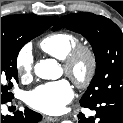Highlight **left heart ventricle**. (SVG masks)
Here are the masks:
<instances>
[{"mask_svg": "<svg viewBox=\"0 0 123 123\" xmlns=\"http://www.w3.org/2000/svg\"><path fill=\"white\" fill-rule=\"evenodd\" d=\"M86 70V62L85 61H81L76 68V72L78 74H83Z\"/></svg>", "mask_w": 123, "mask_h": 123, "instance_id": "left-heart-ventricle-1", "label": "left heart ventricle"}]
</instances>
